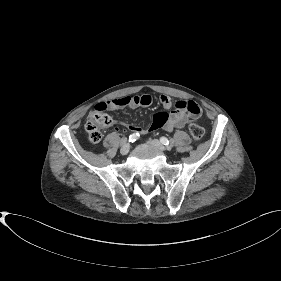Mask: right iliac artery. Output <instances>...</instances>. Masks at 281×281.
I'll list each match as a JSON object with an SVG mask.
<instances>
[{
  "mask_svg": "<svg viewBox=\"0 0 281 281\" xmlns=\"http://www.w3.org/2000/svg\"><path fill=\"white\" fill-rule=\"evenodd\" d=\"M139 137L138 133H133L129 136V142H135Z\"/></svg>",
  "mask_w": 281,
  "mask_h": 281,
  "instance_id": "82829eb1",
  "label": "right iliac artery"
}]
</instances>
